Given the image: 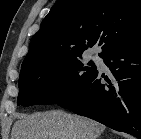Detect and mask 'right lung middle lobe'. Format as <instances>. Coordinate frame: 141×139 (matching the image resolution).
Segmentation results:
<instances>
[{
    "mask_svg": "<svg viewBox=\"0 0 141 139\" xmlns=\"http://www.w3.org/2000/svg\"><path fill=\"white\" fill-rule=\"evenodd\" d=\"M88 64L84 67L74 58L21 70L17 105L57 104L67 99L97 71L92 61Z\"/></svg>",
    "mask_w": 141,
    "mask_h": 139,
    "instance_id": "obj_1",
    "label": "right lung middle lobe"
}]
</instances>
